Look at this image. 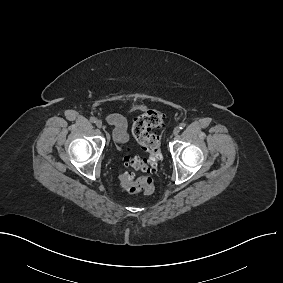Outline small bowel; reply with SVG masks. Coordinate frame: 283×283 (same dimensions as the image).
<instances>
[{"instance_id":"1","label":"small bowel","mask_w":283,"mask_h":283,"mask_svg":"<svg viewBox=\"0 0 283 283\" xmlns=\"http://www.w3.org/2000/svg\"><path fill=\"white\" fill-rule=\"evenodd\" d=\"M106 121L108 124L114 127L112 135L116 143H125L128 141V124L124 116L118 113H112L106 117Z\"/></svg>"}]
</instances>
